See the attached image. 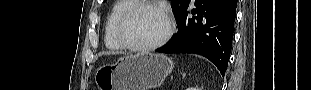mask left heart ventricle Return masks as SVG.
<instances>
[{
	"mask_svg": "<svg viewBox=\"0 0 311 90\" xmlns=\"http://www.w3.org/2000/svg\"><path fill=\"white\" fill-rule=\"evenodd\" d=\"M166 30V20L159 11L143 8L128 22L125 35L134 45L145 46L158 41Z\"/></svg>",
	"mask_w": 311,
	"mask_h": 90,
	"instance_id": "1",
	"label": "left heart ventricle"
}]
</instances>
